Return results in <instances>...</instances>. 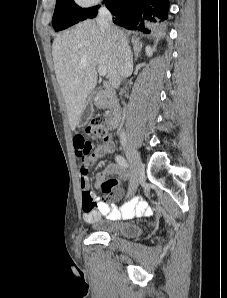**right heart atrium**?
I'll return each instance as SVG.
<instances>
[{"label":"right heart atrium","instance_id":"1","mask_svg":"<svg viewBox=\"0 0 227 298\" xmlns=\"http://www.w3.org/2000/svg\"><path fill=\"white\" fill-rule=\"evenodd\" d=\"M101 0H74V2L82 7V8H89L96 4H98Z\"/></svg>","mask_w":227,"mask_h":298}]
</instances>
